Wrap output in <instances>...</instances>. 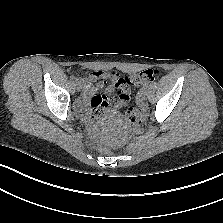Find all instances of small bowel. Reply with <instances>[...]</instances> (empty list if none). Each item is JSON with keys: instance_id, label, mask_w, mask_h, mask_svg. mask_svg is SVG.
I'll list each match as a JSON object with an SVG mask.
<instances>
[{"instance_id": "c3829d8e", "label": "small bowel", "mask_w": 223, "mask_h": 223, "mask_svg": "<svg viewBox=\"0 0 223 223\" xmlns=\"http://www.w3.org/2000/svg\"><path fill=\"white\" fill-rule=\"evenodd\" d=\"M107 72H95L92 75V78H103L105 76ZM103 84H99L98 86L101 87ZM94 88V87H93ZM114 89L113 85H109L106 88V92L107 93H111ZM93 103H94V113L98 114L100 111L102 112H106V113H114L115 110L120 107L121 105H123L122 103H120L117 98L113 101L109 100L107 97H101V96H95L93 98ZM92 118H94V116H89V120H91Z\"/></svg>"}]
</instances>
